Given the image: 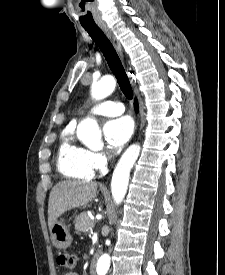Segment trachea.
<instances>
[{
    "mask_svg": "<svg viewBox=\"0 0 225 275\" xmlns=\"http://www.w3.org/2000/svg\"><path fill=\"white\" fill-rule=\"evenodd\" d=\"M84 29L100 48L125 97L132 99L131 84L112 43L99 27H84Z\"/></svg>",
    "mask_w": 225,
    "mask_h": 275,
    "instance_id": "trachea-1",
    "label": "trachea"
}]
</instances>
